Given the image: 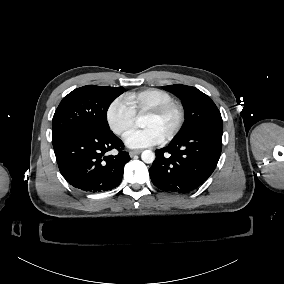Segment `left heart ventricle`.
Listing matches in <instances>:
<instances>
[{
	"label": "left heart ventricle",
	"mask_w": 284,
	"mask_h": 284,
	"mask_svg": "<svg viewBox=\"0 0 284 284\" xmlns=\"http://www.w3.org/2000/svg\"><path fill=\"white\" fill-rule=\"evenodd\" d=\"M175 116L172 112L160 117L146 115L143 120V126L154 129L163 139L171 130Z\"/></svg>",
	"instance_id": "obj_1"
}]
</instances>
